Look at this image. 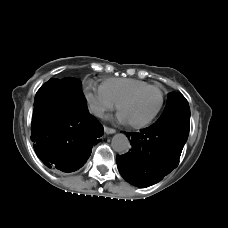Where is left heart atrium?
Wrapping results in <instances>:
<instances>
[{
  "label": "left heart atrium",
  "instance_id": "39dd6f15",
  "mask_svg": "<svg viewBox=\"0 0 228 228\" xmlns=\"http://www.w3.org/2000/svg\"><path fill=\"white\" fill-rule=\"evenodd\" d=\"M119 120L122 122H127L128 120L126 119V117L122 114V112H120V114L118 115Z\"/></svg>",
  "mask_w": 228,
  "mask_h": 228
}]
</instances>
